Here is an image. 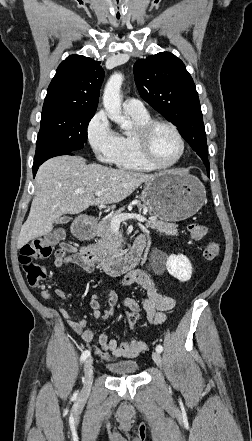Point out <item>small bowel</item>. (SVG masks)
I'll use <instances>...</instances> for the list:
<instances>
[{
    "mask_svg": "<svg viewBox=\"0 0 252 441\" xmlns=\"http://www.w3.org/2000/svg\"><path fill=\"white\" fill-rule=\"evenodd\" d=\"M145 243L142 236L138 237L135 243ZM54 265L57 268L66 267L69 265H78L85 271L91 273L95 270V265L87 263L83 258L77 254L76 249L65 244L60 247L55 253ZM121 286H129L132 284L139 285L145 292V298L140 303L139 301L126 297L121 300L123 306L136 307L140 311L143 310L151 324L158 325L165 321L166 312L172 309L175 305V299L172 296H167L159 293L156 289L155 282L151 275L150 269L146 267L143 270H131L127 272L119 281ZM55 295L61 299H67V293L57 288L54 291ZM42 297L46 300H51L53 295L50 291L42 292ZM119 301L117 293L110 289L108 293L107 305H117ZM88 304L92 310V314L96 318L101 316V301L98 294H90L88 297ZM59 313L66 320V323L72 328L75 333L81 336L84 342H90L94 338V333L87 329L85 319L75 320L70 313L60 308ZM98 342L102 351L110 353L114 358L131 359L137 357L140 353L146 350V343L138 339H130L122 344H118L116 340L110 338L107 334H101L98 337Z\"/></svg>",
    "mask_w": 252,
    "mask_h": 441,
    "instance_id": "1",
    "label": "small bowel"
}]
</instances>
